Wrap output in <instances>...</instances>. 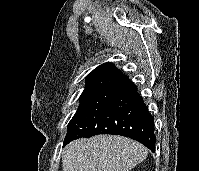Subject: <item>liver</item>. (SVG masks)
Segmentation results:
<instances>
[{"mask_svg": "<svg viewBox=\"0 0 199 171\" xmlns=\"http://www.w3.org/2000/svg\"><path fill=\"white\" fill-rule=\"evenodd\" d=\"M148 150L123 136L97 135L68 144L62 153L63 171H130Z\"/></svg>", "mask_w": 199, "mask_h": 171, "instance_id": "6515ba94", "label": "liver"}]
</instances>
